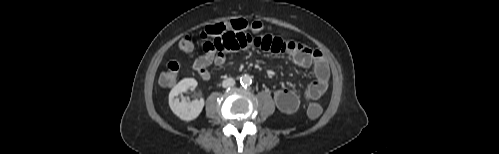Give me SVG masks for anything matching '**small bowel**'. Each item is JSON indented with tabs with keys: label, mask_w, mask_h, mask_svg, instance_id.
<instances>
[{
	"label": "small bowel",
	"mask_w": 499,
	"mask_h": 154,
	"mask_svg": "<svg viewBox=\"0 0 499 154\" xmlns=\"http://www.w3.org/2000/svg\"><path fill=\"white\" fill-rule=\"evenodd\" d=\"M247 48H256L272 54L286 55L302 68L313 67L314 80L309 84L304 99L314 101L319 99L329 87L330 70L324 54L300 42L288 39L282 35L265 31H227L203 44L204 54L193 63L192 69L198 75L208 80V67L212 64L222 65L227 54ZM277 108L284 113H294L300 106V97L287 88L274 92Z\"/></svg>",
	"instance_id": "c3829d8e"
}]
</instances>
